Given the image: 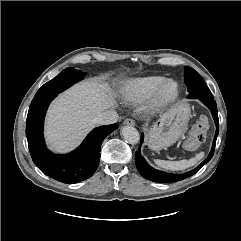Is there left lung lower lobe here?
<instances>
[{"label":"left lung lower lobe","instance_id":"obj_1","mask_svg":"<svg viewBox=\"0 0 241 241\" xmlns=\"http://www.w3.org/2000/svg\"><path fill=\"white\" fill-rule=\"evenodd\" d=\"M188 88H191V86ZM190 96L194 97L195 99H199L203 104H205L210 109L212 116L214 118V121L216 124V133H215V137L213 140V146H212V150H211L210 154L198 167H196L194 170H192L190 172H187L185 174H169V173L158 171V170H155L154 168H152L146 162V160L143 158V156L140 154V148H139L138 151L135 153V163H136L138 171L144 178L151 180V181L158 182V183H172V182L181 181L185 178H188V177L194 175L196 172H198L202 168L203 165H205L212 158V156L214 154L216 138L219 133V120H218L216 102H215L213 96H211V97L194 96L191 94V95H188V98ZM143 141H144V136L142 134L140 146L142 145Z\"/></svg>","mask_w":241,"mask_h":241}]
</instances>
